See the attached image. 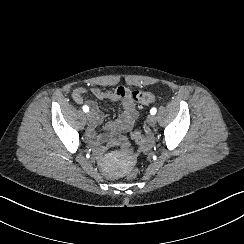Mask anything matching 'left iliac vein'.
Here are the masks:
<instances>
[{"label": "left iliac vein", "mask_w": 244, "mask_h": 244, "mask_svg": "<svg viewBox=\"0 0 244 244\" xmlns=\"http://www.w3.org/2000/svg\"><path fill=\"white\" fill-rule=\"evenodd\" d=\"M156 121H157V119H156V116L155 115H149L148 117H147V123L150 125V126H154L155 124H156Z\"/></svg>", "instance_id": "obj_1"}]
</instances>
